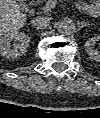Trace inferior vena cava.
<instances>
[{
  "label": "inferior vena cava",
  "mask_w": 100,
  "mask_h": 118,
  "mask_svg": "<svg viewBox=\"0 0 100 118\" xmlns=\"http://www.w3.org/2000/svg\"><path fill=\"white\" fill-rule=\"evenodd\" d=\"M31 22L32 26L36 29H45L49 26L50 18L47 16H37Z\"/></svg>",
  "instance_id": "obj_1"
}]
</instances>
